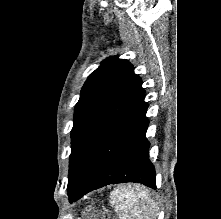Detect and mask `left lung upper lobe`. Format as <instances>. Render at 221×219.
<instances>
[{
  "label": "left lung upper lobe",
  "instance_id": "obj_1",
  "mask_svg": "<svg viewBox=\"0 0 221 219\" xmlns=\"http://www.w3.org/2000/svg\"><path fill=\"white\" fill-rule=\"evenodd\" d=\"M143 92L141 78L125 59L107 58L90 74L75 106L68 194L102 137Z\"/></svg>",
  "mask_w": 221,
  "mask_h": 219
}]
</instances>
